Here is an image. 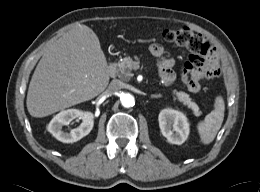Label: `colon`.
Returning a JSON list of instances; mask_svg holds the SVG:
<instances>
[{
	"instance_id": "colon-1",
	"label": "colon",
	"mask_w": 260,
	"mask_h": 192,
	"mask_svg": "<svg viewBox=\"0 0 260 192\" xmlns=\"http://www.w3.org/2000/svg\"><path fill=\"white\" fill-rule=\"evenodd\" d=\"M163 38L166 42L188 50V61L182 70V80L189 90L197 87V74L208 63H214L215 51L211 43L188 28L165 30Z\"/></svg>"
}]
</instances>
